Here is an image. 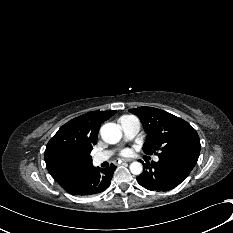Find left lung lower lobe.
Wrapping results in <instances>:
<instances>
[{
    "mask_svg": "<svg viewBox=\"0 0 233 233\" xmlns=\"http://www.w3.org/2000/svg\"><path fill=\"white\" fill-rule=\"evenodd\" d=\"M143 165L144 171L136 179L142 187L151 191L171 190L183 182L191 172L190 169L164 158Z\"/></svg>",
    "mask_w": 233,
    "mask_h": 233,
    "instance_id": "0a47b994",
    "label": "left lung lower lobe"
}]
</instances>
